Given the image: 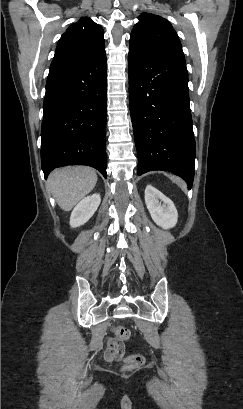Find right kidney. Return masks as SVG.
Wrapping results in <instances>:
<instances>
[{
    "mask_svg": "<svg viewBox=\"0 0 243 409\" xmlns=\"http://www.w3.org/2000/svg\"><path fill=\"white\" fill-rule=\"evenodd\" d=\"M101 202L100 194H92L83 198L73 209L70 226L73 228L85 224L95 213Z\"/></svg>",
    "mask_w": 243,
    "mask_h": 409,
    "instance_id": "right-kidney-1",
    "label": "right kidney"
}]
</instances>
